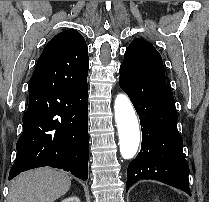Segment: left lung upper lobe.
I'll list each match as a JSON object with an SVG mask.
<instances>
[{"instance_id": "left-lung-upper-lobe-1", "label": "left lung upper lobe", "mask_w": 209, "mask_h": 202, "mask_svg": "<svg viewBox=\"0 0 209 202\" xmlns=\"http://www.w3.org/2000/svg\"><path fill=\"white\" fill-rule=\"evenodd\" d=\"M121 66L137 71L150 79L166 83L160 54L150 42L144 39L137 38L131 42L126 49Z\"/></svg>"}]
</instances>
